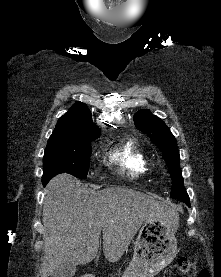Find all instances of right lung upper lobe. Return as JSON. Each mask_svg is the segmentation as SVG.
Returning a JSON list of instances; mask_svg holds the SVG:
<instances>
[{
    "mask_svg": "<svg viewBox=\"0 0 221 277\" xmlns=\"http://www.w3.org/2000/svg\"><path fill=\"white\" fill-rule=\"evenodd\" d=\"M99 133L100 131L93 123L88 107L77 102L65 115L59 118L52 135L87 136Z\"/></svg>",
    "mask_w": 221,
    "mask_h": 277,
    "instance_id": "1",
    "label": "right lung upper lobe"
}]
</instances>
